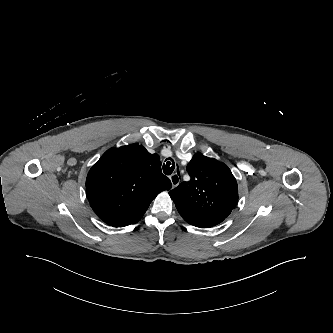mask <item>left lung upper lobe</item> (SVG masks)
Listing matches in <instances>:
<instances>
[{"label":"left lung upper lobe","mask_w":333,"mask_h":333,"mask_svg":"<svg viewBox=\"0 0 333 333\" xmlns=\"http://www.w3.org/2000/svg\"><path fill=\"white\" fill-rule=\"evenodd\" d=\"M190 181L169 192L175 205L234 209L238 201L235 177L227 165L197 153L187 165Z\"/></svg>","instance_id":"left-lung-upper-lobe-1"}]
</instances>
